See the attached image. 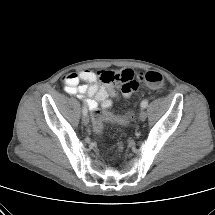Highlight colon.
<instances>
[{
    "label": "colon",
    "instance_id": "1",
    "mask_svg": "<svg viewBox=\"0 0 215 215\" xmlns=\"http://www.w3.org/2000/svg\"><path fill=\"white\" fill-rule=\"evenodd\" d=\"M138 80L145 81L150 87H153V88H158L163 85V76L157 71H149V72L145 73L144 75L141 74L138 76ZM135 82H136V84H138L137 81H135ZM132 118H133L132 112H128L125 116H123L121 118H114L109 113H106L104 111L97 109V110L93 111V113H92L93 130L98 134L101 133L102 129H103V123L106 120H114L121 125H125Z\"/></svg>",
    "mask_w": 215,
    "mask_h": 215
}]
</instances>
